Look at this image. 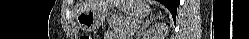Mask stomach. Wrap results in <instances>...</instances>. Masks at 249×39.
<instances>
[{
	"label": "stomach",
	"instance_id": "1",
	"mask_svg": "<svg viewBox=\"0 0 249 39\" xmlns=\"http://www.w3.org/2000/svg\"><path fill=\"white\" fill-rule=\"evenodd\" d=\"M120 9L130 16L140 18L149 12V5L145 0H124ZM108 10L97 7L81 12L77 18L79 27L87 32L100 28L108 17Z\"/></svg>",
	"mask_w": 249,
	"mask_h": 39
}]
</instances>
